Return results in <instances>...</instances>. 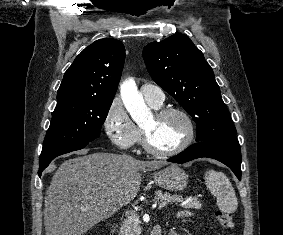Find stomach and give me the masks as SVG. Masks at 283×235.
I'll return each mask as SVG.
<instances>
[{
    "instance_id": "stomach-1",
    "label": "stomach",
    "mask_w": 283,
    "mask_h": 235,
    "mask_svg": "<svg viewBox=\"0 0 283 235\" xmlns=\"http://www.w3.org/2000/svg\"><path fill=\"white\" fill-rule=\"evenodd\" d=\"M154 181L169 191L183 190L188 182L186 173L176 165H170L153 174Z\"/></svg>"
}]
</instances>
